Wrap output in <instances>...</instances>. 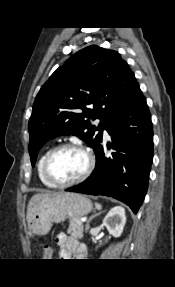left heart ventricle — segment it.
<instances>
[{
  "mask_svg": "<svg viewBox=\"0 0 175 287\" xmlns=\"http://www.w3.org/2000/svg\"><path fill=\"white\" fill-rule=\"evenodd\" d=\"M86 166L87 157L82 151L66 148L54 155L49 165V171L54 180L66 182L79 177Z\"/></svg>",
  "mask_w": 175,
  "mask_h": 287,
  "instance_id": "left-heart-ventricle-1",
  "label": "left heart ventricle"
}]
</instances>
